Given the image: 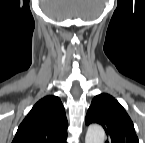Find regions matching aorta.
I'll return each mask as SVG.
<instances>
[{
  "label": "aorta",
  "mask_w": 145,
  "mask_h": 143,
  "mask_svg": "<svg viewBox=\"0 0 145 143\" xmlns=\"http://www.w3.org/2000/svg\"><path fill=\"white\" fill-rule=\"evenodd\" d=\"M105 140V131L99 125H91L89 126L86 137L85 143H104Z\"/></svg>",
  "instance_id": "762f6f07"
}]
</instances>
